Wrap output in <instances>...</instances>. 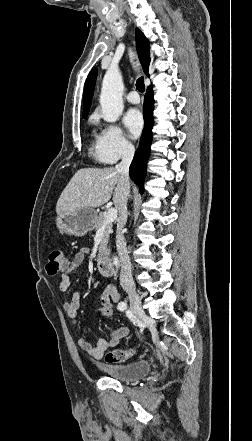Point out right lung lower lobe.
Returning a JSON list of instances; mask_svg holds the SVG:
<instances>
[{
  "label": "right lung lower lobe",
  "mask_w": 252,
  "mask_h": 441,
  "mask_svg": "<svg viewBox=\"0 0 252 441\" xmlns=\"http://www.w3.org/2000/svg\"><path fill=\"white\" fill-rule=\"evenodd\" d=\"M153 108H154L153 91H152V87L150 86L147 89L144 99V106H143L145 128L140 140L139 148L134 155L129 171L131 179L139 186V190L141 193L144 192L146 162L150 155V146L152 142L151 129L154 123Z\"/></svg>",
  "instance_id": "obj_1"
}]
</instances>
